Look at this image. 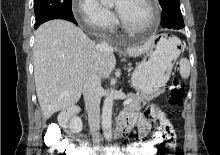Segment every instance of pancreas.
Wrapping results in <instances>:
<instances>
[{
	"mask_svg": "<svg viewBox=\"0 0 220 155\" xmlns=\"http://www.w3.org/2000/svg\"><path fill=\"white\" fill-rule=\"evenodd\" d=\"M158 95L154 96H145L142 94H131L128 96L131 99V102L125 106V110L129 111H139L142 106H144L147 102L151 101Z\"/></svg>",
	"mask_w": 220,
	"mask_h": 155,
	"instance_id": "cf45deb5",
	"label": "pancreas"
}]
</instances>
